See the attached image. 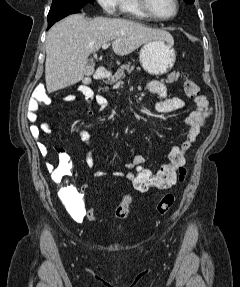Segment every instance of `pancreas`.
Segmentation results:
<instances>
[{
  "label": "pancreas",
  "mask_w": 240,
  "mask_h": 287,
  "mask_svg": "<svg viewBox=\"0 0 240 287\" xmlns=\"http://www.w3.org/2000/svg\"><path fill=\"white\" fill-rule=\"evenodd\" d=\"M135 66L131 65L130 62L121 65L120 68L116 71V73L108 78L107 83L114 84L119 79L123 78L125 76V72L131 73L134 70ZM140 70V68H138ZM180 77L179 73H171L168 75V78L166 80L167 83H173L174 81H177ZM103 90L108 91V87L104 88Z\"/></svg>",
  "instance_id": "1"
}]
</instances>
